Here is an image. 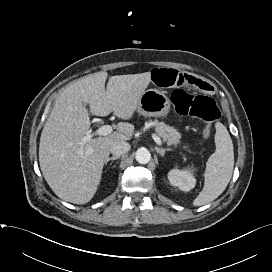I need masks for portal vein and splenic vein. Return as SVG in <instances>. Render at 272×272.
Here are the masks:
<instances>
[{"instance_id": "1", "label": "portal vein and splenic vein", "mask_w": 272, "mask_h": 272, "mask_svg": "<svg viewBox=\"0 0 272 272\" xmlns=\"http://www.w3.org/2000/svg\"><path fill=\"white\" fill-rule=\"evenodd\" d=\"M112 133V127L110 125H103L101 127H99L95 132L93 133H87L82 139H81V144H85L86 142L90 141L92 139V137L94 135H98V136H107L109 134ZM153 139L154 141L158 144V145H162V141L161 139L156 136L153 135Z\"/></svg>"}]
</instances>
